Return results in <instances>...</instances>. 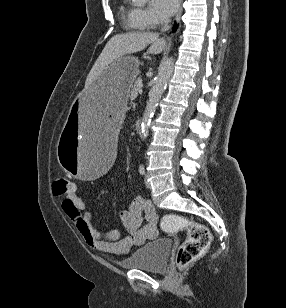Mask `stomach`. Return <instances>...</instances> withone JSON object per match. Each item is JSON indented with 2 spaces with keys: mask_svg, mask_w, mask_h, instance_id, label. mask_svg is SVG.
<instances>
[{
  "mask_svg": "<svg viewBox=\"0 0 286 308\" xmlns=\"http://www.w3.org/2000/svg\"><path fill=\"white\" fill-rule=\"evenodd\" d=\"M139 65L130 56L113 62L73 100L70 118H63L57 159L77 182H100L112 159H117L113 130L123 124L121 117Z\"/></svg>",
  "mask_w": 286,
  "mask_h": 308,
  "instance_id": "0dacf381",
  "label": "stomach"
}]
</instances>
